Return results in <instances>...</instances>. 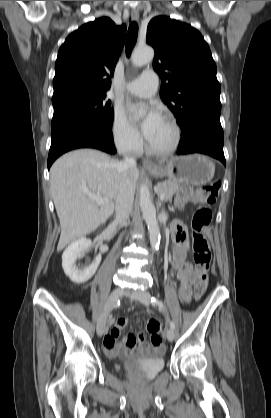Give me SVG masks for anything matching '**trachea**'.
I'll return each instance as SVG.
<instances>
[{"instance_id":"1","label":"trachea","mask_w":271,"mask_h":418,"mask_svg":"<svg viewBox=\"0 0 271 418\" xmlns=\"http://www.w3.org/2000/svg\"><path fill=\"white\" fill-rule=\"evenodd\" d=\"M137 35H138V25L136 22H132L129 26L127 37H126V53L128 57L136 43Z\"/></svg>"}]
</instances>
